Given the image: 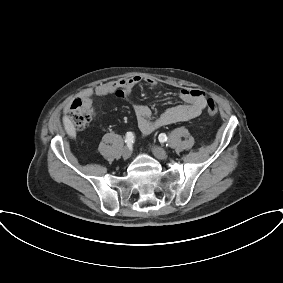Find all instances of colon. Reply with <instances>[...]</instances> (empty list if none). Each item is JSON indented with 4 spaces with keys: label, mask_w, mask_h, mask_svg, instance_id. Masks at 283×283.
<instances>
[{
    "label": "colon",
    "mask_w": 283,
    "mask_h": 283,
    "mask_svg": "<svg viewBox=\"0 0 283 283\" xmlns=\"http://www.w3.org/2000/svg\"><path fill=\"white\" fill-rule=\"evenodd\" d=\"M218 107L213 100L207 102V113L210 116L216 115ZM94 114V108L92 104H88L82 99L75 100L66 112V119L68 123L77 130L85 129Z\"/></svg>",
    "instance_id": "obj_1"
}]
</instances>
